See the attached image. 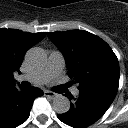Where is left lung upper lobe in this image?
Here are the masks:
<instances>
[{
	"instance_id": "obj_1",
	"label": "left lung upper lobe",
	"mask_w": 128,
	"mask_h": 128,
	"mask_svg": "<svg viewBox=\"0 0 128 128\" xmlns=\"http://www.w3.org/2000/svg\"><path fill=\"white\" fill-rule=\"evenodd\" d=\"M47 35L63 53L68 75L79 84V91L95 88L118 90V60L104 40L84 30Z\"/></svg>"
}]
</instances>
